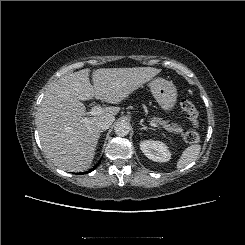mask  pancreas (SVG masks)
<instances>
[{"instance_id":"pancreas-1","label":"pancreas","mask_w":245,"mask_h":245,"mask_svg":"<svg viewBox=\"0 0 245 245\" xmlns=\"http://www.w3.org/2000/svg\"><path fill=\"white\" fill-rule=\"evenodd\" d=\"M152 122L161 125L165 130L174 133L184 135L183 128L176 123H169V121L162 120L161 118H152Z\"/></svg>"}]
</instances>
